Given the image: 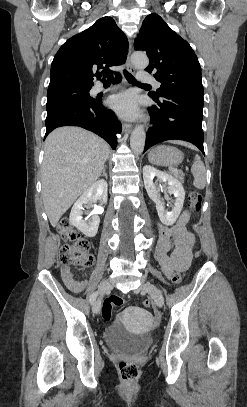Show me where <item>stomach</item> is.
I'll return each instance as SVG.
<instances>
[{
	"label": "stomach",
	"mask_w": 247,
	"mask_h": 407,
	"mask_svg": "<svg viewBox=\"0 0 247 407\" xmlns=\"http://www.w3.org/2000/svg\"><path fill=\"white\" fill-rule=\"evenodd\" d=\"M183 153L172 146L160 145L148 154L149 161L157 166H177L183 161Z\"/></svg>",
	"instance_id": "obj_1"
}]
</instances>
